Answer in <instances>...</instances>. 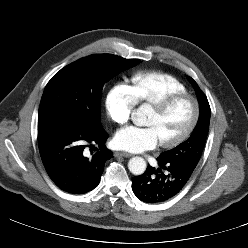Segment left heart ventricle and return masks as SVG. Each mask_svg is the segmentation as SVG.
<instances>
[{"instance_id":"b2bd125f","label":"left heart ventricle","mask_w":248,"mask_h":248,"mask_svg":"<svg viewBox=\"0 0 248 248\" xmlns=\"http://www.w3.org/2000/svg\"><path fill=\"white\" fill-rule=\"evenodd\" d=\"M192 114V102L189 99H182L163 114H157L151 109L145 125L155 129L160 142L167 141L176 138L186 129Z\"/></svg>"}]
</instances>
